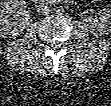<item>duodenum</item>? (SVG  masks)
<instances>
[{"label":"duodenum","mask_w":111,"mask_h":106,"mask_svg":"<svg viewBox=\"0 0 111 106\" xmlns=\"http://www.w3.org/2000/svg\"><path fill=\"white\" fill-rule=\"evenodd\" d=\"M55 2H57V3H64V2H67V0H55Z\"/></svg>","instance_id":"obj_1"}]
</instances>
